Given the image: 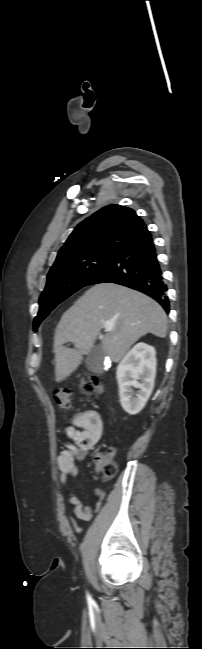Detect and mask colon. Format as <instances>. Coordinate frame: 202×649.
Listing matches in <instances>:
<instances>
[{
	"mask_svg": "<svg viewBox=\"0 0 202 649\" xmlns=\"http://www.w3.org/2000/svg\"><path fill=\"white\" fill-rule=\"evenodd\" d=\"M81 389L86 393H94L97 389L102 388L101 381L96 376H86L80 382ZM54 399L59 407L65 410L72 409L71 391L68 389H56ZM115 454L114 448H109L106 452L97 453L94 456V464L100 470L103 477L111 479L117 472V467L113 461Z\"/></svg>",
	"mask_w": 202,
	"mask_h": 649,
	"instance_id": "colon-1",
	"label": "colon"
}]
</instances>
